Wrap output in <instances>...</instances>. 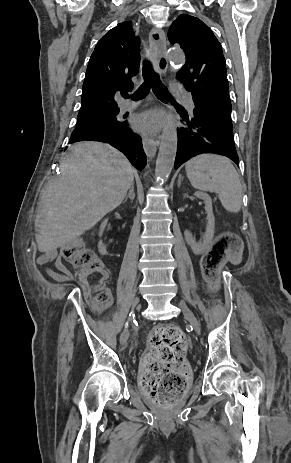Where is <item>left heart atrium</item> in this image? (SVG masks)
I'll list each match as a JSON object with an SVG mask.
<instances>
[{
	"label": "left heart atrium",
	"mask_w": 291,
	"mask_h": 463,
	"mask_svg": "<svg viewBox=\"0 0 291 463\" xmlns=\"http://www.w3.org/2000/svg\"><path fill=\"white\" fill-rule=\"evenodd\" d=\"M162 115L156 111H147L138 115L134 120V128L146 135L156 133L162 126Z\"/></svg>",
	"instance_id": "1"
}]
</instances>
